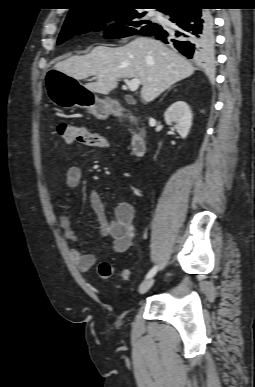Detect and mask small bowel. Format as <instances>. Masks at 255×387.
Instances as JSON below:
<instances>
[{
    "mask_svg": "<svg viewBox=\"0 0 255 387\" xmlns=\"http://www.w3.org/2000/svg\"><path fill=\"white\" fill-rule=\"evenodd\" d=\"M82 179V170L78 166H70L65 173V183L70 189L76 188ZM91 208L95 214L99 232L102 237L112 241L114 252L123 253L134 245L136 231L134 226L135 209L129 202L119 203L115 209L113 218L108 220L105 214V206L99 193L92 192L89 196ZM57 222L71 241H77L69 216L62 211V206L57 205ZM70 256L80 271H88L96 263L93 254L85 253L77 248L70 249Z\"/></svg>",
    "mask_w": 255,
    "mask_h": 387,
    "instance_id": "1",
    "label": "small bowel"
}]
</instances>
